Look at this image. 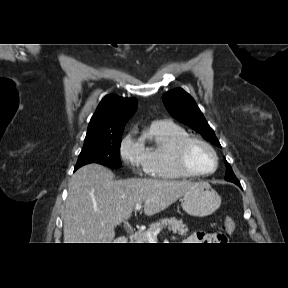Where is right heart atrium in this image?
Segmentation results:
<instances>
[{
	"label": "right heart atrium",
	"mask_w": 288,
	"mask_h": 288,
	"mask_svg": "<svg viewBox=\"0 0 288 288\" xmlns=\"http://www.w3.org/2000/svg\"><path fill=\"white\" fill-rule=\"evenodd\" d=\"M119 153L124 164L132 170L143 168L145 157L144 148L139 140H136L132 134H127L120 143Z\"/></svg>",
	"instance_id": "obj_1"
}]
</instances>
